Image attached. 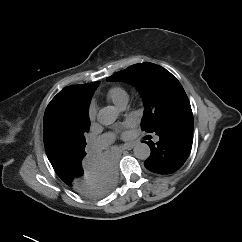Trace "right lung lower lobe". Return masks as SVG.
<instances>
[{
	"mask_svg": "<svg viewBox=\"0 0 242 242\" xmlns=\"http://www.w3.org/2000/svg\"><path fill=\"white\" fill-rule=\"evenodd\" d=\"M57 175L77 193L100 199L109 194L117 182L116 160L112 155L82 156Z\"/></svg>",
	"mask_w": 242,
	"mask_h": 242,
	"instance_id": "98d812e1",
	"label": "right lung lower lobe"
}]
</instances>
